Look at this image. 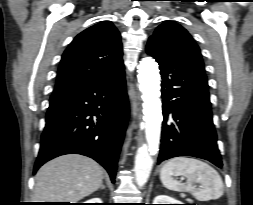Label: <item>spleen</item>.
Returning a JSON list of instances; mask_svg holds the SVG:
<instances>
[{"label": "spleen", "mask_w": 253, "mask_h": 205, "mask_svg": "<svg viewBox=\"0 0 253 205\" xmlns=\"http://www.w3.org/2000/svg\"><path fill=\"white\" fill-rule=\"evenodd\" d=\"M183 175L186 183L173 178ZM162 184L170 190L189 192L199 201H209L220 198L224 193V185L219 173L209 164L187 157H176L168 160L160 171ZM200 184V187L194 184Z\"/></svg>", "instance_id": "1"}]
</instances>
